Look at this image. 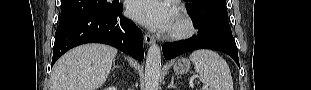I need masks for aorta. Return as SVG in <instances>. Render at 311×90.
I'll use <instances>...</instances> for the list:
<instances>
[{
	"label": "aorta",
	"instance_id": "762f6f07",
	"mask_svg": "<svg viewBox=\"0 0 311 90\" xmlns=\"http://www.w3.org/2000/svg\"><path fill=\"white\" fill-rule=\"evenodd\" d=\"M161 71V49L152 44L148 49L145 64L144 90H158Z\"/></svg>",
	"mask_w": 311,
	"mask_h": 90
}]
</instances>
